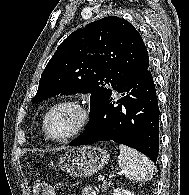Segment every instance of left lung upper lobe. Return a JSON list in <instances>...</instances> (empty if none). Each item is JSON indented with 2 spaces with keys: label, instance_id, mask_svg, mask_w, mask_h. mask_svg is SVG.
<instances>
[{
  "label": "left lung upper lobe",
  "instance_id": "5c2ea615",
  "mask_svg": "<svg viewBox=\"0 0 189 195\" xmlns=\"http://www.w3.org/2000/svg\"><path fill=\"white\" fill-rule=\"evenodd\" d=\"M148 67L147 49L133 25L116 16L105 17L77 29L59 45L32 102L58 94L91 93L92 117L113 90Z\"/></svg>",
  "mask_w": 189,
  "mask_h": 195
}]
</instances>
